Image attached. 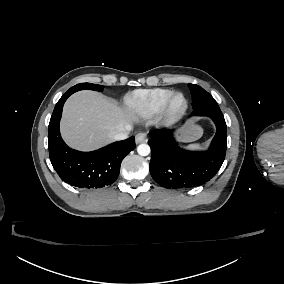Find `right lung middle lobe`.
Returning <instances> with one entry per match:
<instances>
[{
    "label": "right lung middle lobe",
    "mask_w": 284,
    "mask_h": 284,
    "mask_svg": "<svg viewBox=\"0 0 284 284\" xmlns=\"http://www.w3.org/2000/svg\"><path fill=\"white\" fill-rule=\"evenodd\" d=\"M85 89L102 91L103 90V86L96 85V84H91V83H81V84H77V85L71 87L68 90V92L74 93V92H77L79 90H85Z\"/></svg>",
    "instance_id": "dd1d6c3e"
}]
</instances>
